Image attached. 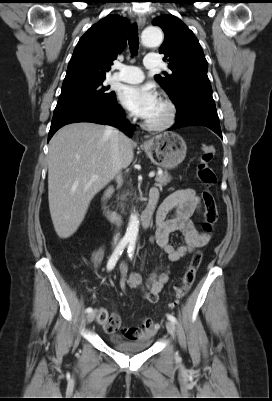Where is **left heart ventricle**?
<instances>
[{
	"label": "left heart ventricle",
	"mask_w": 272,
	"mask_h": 401,
	"mask_svg": "<svg viewBox=\"0 0 272 401\" xmlns=\"http://www.w3.org/2000/svg\"><path fill=\"white\" fill-rule=\"evenodd\" d=\"M166 115V108L165 106L158 101L153 113L145 119L146 121L156 122L162 120Z\"/></svg>",
	"instance_id": "1"
}]
</instances>
